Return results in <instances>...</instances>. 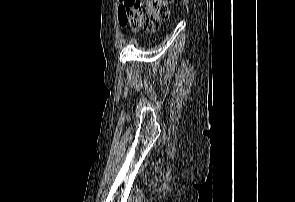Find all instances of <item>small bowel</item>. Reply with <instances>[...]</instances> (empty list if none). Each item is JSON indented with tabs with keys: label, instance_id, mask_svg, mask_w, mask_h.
Listing matches in <instances>:
<instances>
[{
	"label": "small bowel",
	"instance_id": "1",
	"mask_svg": "<svg viewBox=\"0 0 295 202\" xmlns=\"http://www.w3.org/2000/svg\"><path fill=\"white\" fill-rule=\"evenodd\" d=\"M126 6V1L125 0H121L120 1V9H123Z\"/></svg>",
	"mask_w": 295,
	"mask_h": 202
}]
</instances>
